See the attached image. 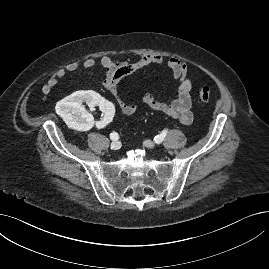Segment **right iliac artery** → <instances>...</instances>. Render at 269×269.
<instances>
[{"mask_svg": "<svg viewBox=\"0 0 269 269\" xmlns=\"http://www.w3.org/2000/svg\"><path fill=\"white\" fill-rule=\"evenodd\" d=\"M110 139L114 140V141H117L119 139L118 133H116V132L111 133L110 134Z\"/></svg>", "mask_w": 269, "mask_h": 269, "instance_id": "obj_1", "label": "right iliac artery"}]
</instances>
